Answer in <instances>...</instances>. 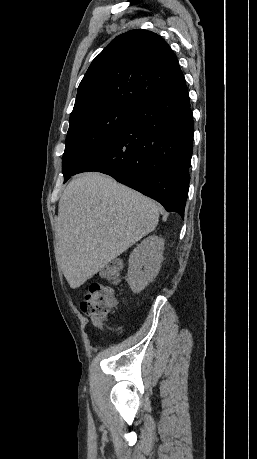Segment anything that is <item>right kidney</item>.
<instances>
[{"label":"right kidney","instance_id":"ca27d5eb","mask_svg":"<svg viewBox=\"0 0 257 459\" xmlns=\"http://www.w3.org/2000/svg\"><path fill=\"white\" fill-rule=\"evenodd\" d=\"M163 250V238L153 235L144 239L130 254L126 281L134 293L141 292L157 276Z\"/></svg>","mask_w":257,"mask_h":459}]
</instances>
